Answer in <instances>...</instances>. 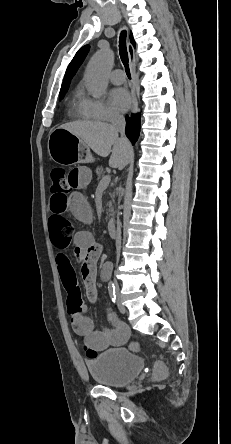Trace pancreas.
<instances>
[{"label":"pancreas","mask_w":231,"mask_h":444,"mask_svg":"<svg viewBox=\"0 0 231 444\" xmlns=\"http://www.w3.org/2000/svg\"><path fill=\"white\" fill-rule=\"evenodd\" d=\"M104 173H105V171L102 166L97 167L96 174H97L98 179H101L104 176Z\"/></svg>","instance_id":"obj_1"}]
</instances>
